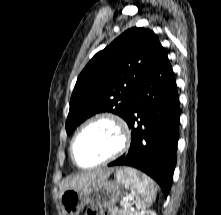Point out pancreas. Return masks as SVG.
I'll return each mask as SVG.
<instances>
[{
  "label": "pancreas",
  "instance_id": "1",
  "mask_svg": "<svg viewBox=\"0 0 221 215\" xmlns=\"http://www.w3.org/2000/svg\"><path fill=\"white\" fill-rule=\"evenodd\" d=\"M126 209L125 210H114V209H111V214L112 215H135L136 213L133 212L131 209H130V205L127 203L126 204Z\"/></svg>",
  "mask_w": 221,
  "mask_h": 215
}]
</instances>
